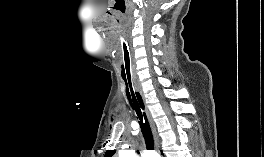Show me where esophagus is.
I'll return each mask as SVG.
<instances>
[{
	"instance_id": "esophagus-1",
	"label": "esophagus",
	"mask_w": 264,
	"mask_h": 157,
	"mask_svg": "<svg viewBox=\"0 0 264 157\" xmlns=\"http://www.w3.org/2000/svg\"><path fill=\"white\" fill-rule=\"evenodd\" d=\"M136 90L140 93V95H141V97L143 99L145 112L147 114V117H148L149 122H150L151 127H152V131H153V135H154V140H155V146H156V148H158V136H157L156 129H155V125H154V123L152 121V118H151L149 109H148V107L146 105L144 94L142 93V90L139 89L138 87H136Z\"/></svg>"
}]
</instances>
